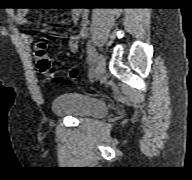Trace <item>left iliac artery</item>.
<instances>
[{
    "mask_svg": "<svg viewBox=\"0 0 192 180\" xmlns=\"http://www.w3.org/2000/svg\"><path fill=\"white\" fill-rule=\"evenodd\" d=\"M87 52H88L90 60L95 61V58L97 56V52H96V49L91 44H88Z\"/></svg>",
    "mask_w": 192,
    "mask_h": 180,
    "instance_id": "left-iliac-artery-1",
    "label": "left iliac artery"
}]
</instances>
